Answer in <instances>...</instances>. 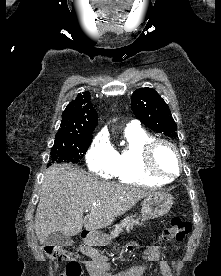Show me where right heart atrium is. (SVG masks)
I'll return each mask as SVG.
<instances>
[{
  "label": "right heart atrium",
  "mask_w": 221,
  "mask_h": 276,
  "mask_svg": "<svg viewBox=\"0 0 221 276\" xmlns=\"http://www.w3.org/2000/svg\"><path fill=\"white\" fill-rule=\"evenodd\" d=\"M86 162L93 172L108 178L114 173L116 152L106 138L98 136L86 154Z\"/></svg>",
  "instance_id": "right-heart-atrium-1"
}]
</instances>
